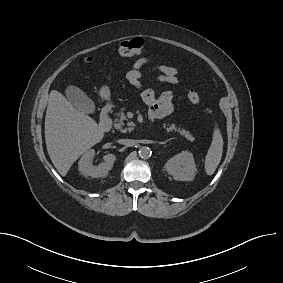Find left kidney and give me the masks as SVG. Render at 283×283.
<instances>
[{"label":"left kidney","instance_id":"left-kidney-1","mask_svg":"<svg viewBox=\"0 0 283 283\" xmlns=\"http://www.w3.org/2000/svg\"><path fill=\"white\" fill-rule=\"evenodd\" d=\"M164 168L179 181H192L197 173L193 154L187 150L169 159Z\"/></svg>","mask_w":283,"mask_h":283}]
</instances>
